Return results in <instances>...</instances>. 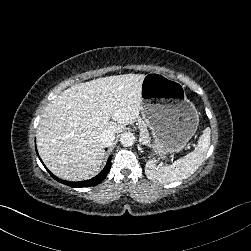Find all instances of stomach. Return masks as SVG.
<instances>
[{
    "instance_id": "0dacf381",
    "label": "stomach",
    "mask_w": 251,
    "mask_h": 251,
    "mask_svg": "<svg viewBox=\"0 0 251 251\" xmlns=\"http://www.w3.org/2000/svg\"><path fill=\"white\" fill-rule=\"evenodd\" d=\"M140 110L154 136L150 150L162 157L181 151L199 125V113L184 86L159 72L143 79Z\"/></svg>"
}]
</instances>
